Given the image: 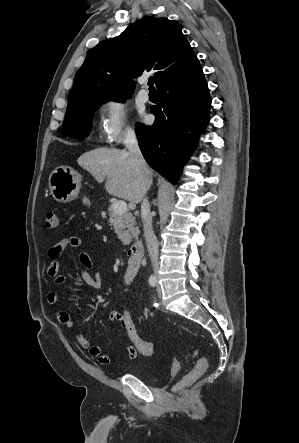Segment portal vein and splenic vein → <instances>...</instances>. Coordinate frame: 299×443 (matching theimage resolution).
<instances>
[{
	"label": "portal vein and splenic vein",
	"instance_id": "obj_1",
	"mask_svg": "<svg viewBox=\"0 0 299 443\" xmlns=\"http://www.w3.org/2000/svg\"><path fill=\"white\" fill-rule=\"evenodd\" d=\"M112 206L113 211L119 215L125 214L128 211L127 204L124 201H116Z\"/></svg>",
	"mask_w": 299,
	"mask_h": 443
}]
</instances>
